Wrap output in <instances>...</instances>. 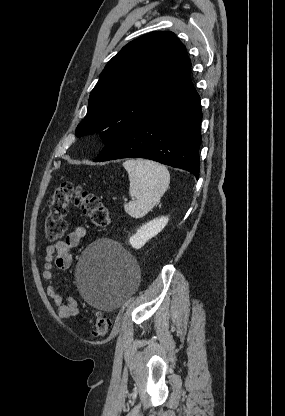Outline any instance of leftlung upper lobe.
<instances>
[{
    "mask_svg": "<svg viewBox=\"0 0 285 416\" xmlns=\"http://www.w3.org/2000/svg\"><path fill=\"white\" fill-rule=\"evenodd\" d=\"M190 69L185 46L172 32L155 31L131 41L101 73L76 136L99 133L107 144L188 86Z\"/></svg>",
    "mask_w": 285,
    "mask_h": 416,
    "instance_id": "5c2ea615",
    "label": "left lung upper lobe"
}]
</instances>
